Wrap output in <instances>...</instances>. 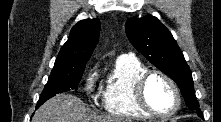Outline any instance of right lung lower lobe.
I'll list each match as a JSON object with an SVG mask.
<instances>
[{"label": "right lung lower lobe", "instance_id": "right-lung-lower-lobe-1", "mask_svg": "<svg viewBox=\"0 0 221 122\" xmlns=\"http://www.w3.org/2000/svg\"><path fill=\"white\" fill-rule=\"evenodd\" d=\"M39 106H40V105H37V106H36V109H37Z\"/></svg>", "mask_w": 221, "mask_h": 122}]
</instances>
